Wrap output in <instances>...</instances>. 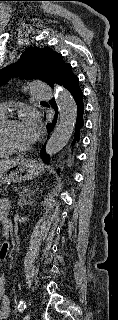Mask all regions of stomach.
Segmentation results:
<instances>
[{
  "label": "stomach",
  "instance_id": "0dacf381",
  "mask_svg": "<svg viewBox=\"0 0 118 320\" xmlns=\"http://www.w3.org/2000/svg\"><path fill=\"white\" fill-rule=\"evenodd\" d=\"M41 171L40 164L26 158H17L0 166V186L8 182H22L33 179Z\"/></svg>",
  "mask_w": 118,
  "mask_h": 320
}]
</instances>
